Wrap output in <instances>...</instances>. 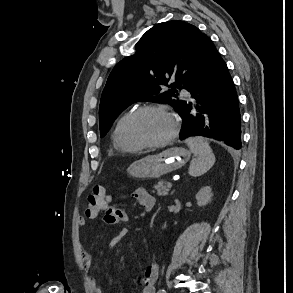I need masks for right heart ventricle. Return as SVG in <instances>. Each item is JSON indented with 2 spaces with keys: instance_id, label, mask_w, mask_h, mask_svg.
Instances as JSON below:
<instances>
[{
  "instance_id": "obj_1",
  "label": "right heart ventricle",
  "mask_w": 293,
  "mask_h": 293,
  "mask_svg": "<svg viewBox=\"0 0 293 293\" xmlns=\"http://www.w3.org/2000/svg\"><path fill=\"white\" fill-rule=\"evenodd\" d=\"M131 111L122 114L116 121L113 131H112V142L114 147L121 152H136L141 149V147L130 143L125 134V125Z\"/></svg>"
}]
</instances>
